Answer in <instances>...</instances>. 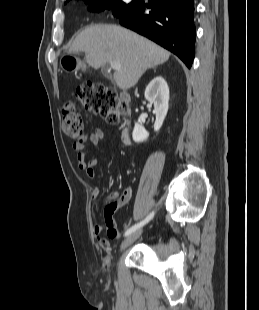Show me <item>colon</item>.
<instances>
[{"label": "colon", "instance_id": "1", "mask_svg": "<svg viewBox=\"0 0 259 310\" xmlns=\"http://www.w3.org/2000/svg\"><path fill=\"white\" fill-rule=\"evenodd\" d=\"M75 99L83 108L95 115L101 116L108 124L117 125L125 110V103L118 92L100 83L82 84L74 92ZM62 129L75 142L85 138V128L74 102L65 103L62 110ZM123 194L115 193L109 197L107 207L113 210L122 199Z\"/></svg>", "mask_w": 259, "mask_h": 310}]
</instances>
